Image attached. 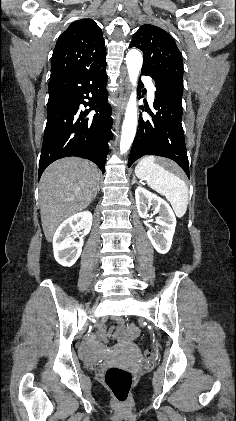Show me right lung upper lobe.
I'll use <instances>...</instances> for the list:
<instances>
[{
  "mask_svg": "<svg viewBox=\"0 0 236 421\" xmlns=\"http://www.w3.org/2000/svg\"><path fill=\"white\" fill-rule=\"evenodd\" d=\"M105 57L104 38L95 21H75L57 40L52 55L50 80L105 65Z\"/></svg>",
  "mask_w": 236,
  "mask_h": 421,
  "instance_id": "right-lung-upper-lobe-1",
  "label": "right lung upper lobe"
}]
</instances>
